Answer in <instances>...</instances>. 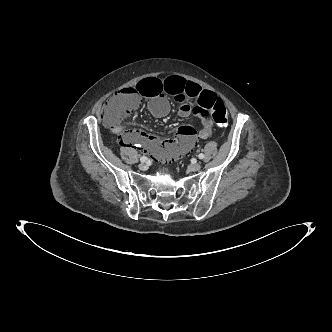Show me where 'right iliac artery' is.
Returning <instances> with one entry per match:
<instances>
[{
	"label": "right iliac artery",
	"instance_id": "obj_1",
	"mask_svg": "<svg viewBox=\"0 0 332 332\" xmlns=\"http://www.w3.org/2000/svg\"><path fill=\"white\" fill-rule=\"evenodd\" d=\"M148 160V158L146 157V156H142L141 158H140V161L141 162H146Z\"/></svg>",
	"mask_w": 332,
	"mask_h": 332
}]
</instances>
